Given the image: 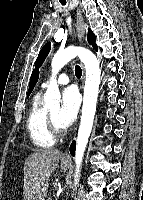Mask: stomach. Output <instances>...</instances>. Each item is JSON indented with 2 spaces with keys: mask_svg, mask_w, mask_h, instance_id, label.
I'll use <instances>...</instances> for the list:
<instances>
[{
  "mask_svg": "<svg viewBox=\"0 0 143 200\" xmlns=\"http://www.w3.org/2000/svg\"><path fill=\"white\" fill-rule=\"evenodd\" d=\"M62 169H63L64 171H66V170H67V165L63 164V165H62Z\"/></svg>",
  "mask_w": 143,
  "mask_h": 200,
  "instance_id": "obj_1",
  "label": "stomach"
}]
</instances>
